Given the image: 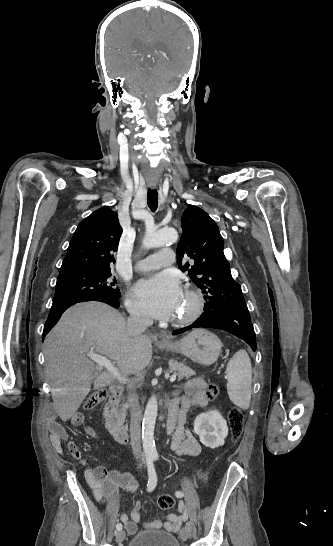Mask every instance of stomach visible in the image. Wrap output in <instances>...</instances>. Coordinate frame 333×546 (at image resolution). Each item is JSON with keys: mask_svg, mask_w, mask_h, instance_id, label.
Here are the masks:
<instances>
[{"mask_svg": "<svg viewBox=\"0 0 333 546\" xmlns=\"http://www.w3.org/2000/svg\"><path fill=\"white\" fill-rule=\"evenodd\" d=\"M174 353H181L204 366L215 363L221 353L222 344L219 338L205 329H196L179 341L164 344Z\"/></svg>", "mask_w": 333, "mask_h": 546, "instance_id": "obj_1", "label": "stomach"}]
</instances>
